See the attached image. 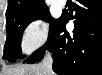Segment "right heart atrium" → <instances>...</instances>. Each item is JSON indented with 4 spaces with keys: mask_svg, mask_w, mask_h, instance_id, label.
Listing matches in <instances>:
<instances>
[{
    "mask_svg": "<svg viewBox=\"0 0 102 75\" xmlns=\"http://www.w3.org/2000/svg\"><path fill=\"white\" fill-rule=\"evenodd\" d=\"M49 37V26L41 18L30 20L21 33V47L26 53H31L43 45Z\"/></svg>",
    "mask_w": 102,
    "mask_h": 75,
    "instance_id": "1",
    "label": "right heart atrium"
}]
</instances>
